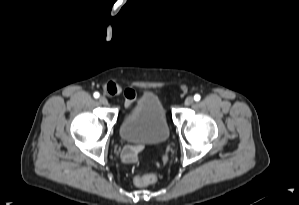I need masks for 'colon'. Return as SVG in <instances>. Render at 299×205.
I'll list each match as a JSON object with an SVG mask.
<instances>
[{
    "instance_id": "1",
    "label": "colon",
    "mask_w": 299,
    "mask_h": 205,
    "mask_svg": "<svg viewBox=\"0 0 299 205\" xmlns=\"http://www.w3.org/2000/svg\"><path fill=\"white\" fill-rule=\"evenodd\" d=\"M134 183L137 186H147L157 181V175L155 173H147L145 175H136L134 177Z\"/></svg>"
}]
</instances>
